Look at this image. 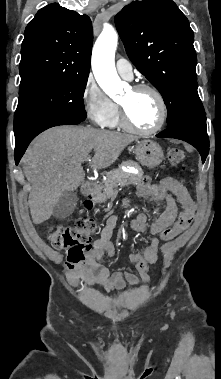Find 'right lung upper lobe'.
<instances>
[{"mask_svg":"<svg viewBox=\"0 0 221 379\" xmlns=\"http://www.w3.org/2000/svg\"><path fill=\"white\" fill-rule=\"evenodd\" d=\"M93 30L90 18L52 3L27 25L19 66L20 88L63 78L88 77Z\"/></svg>","mask_w":221,"mask_h":379,"instance_id":"obj_1","label":"right lung upper lobe"}]
</instances>
